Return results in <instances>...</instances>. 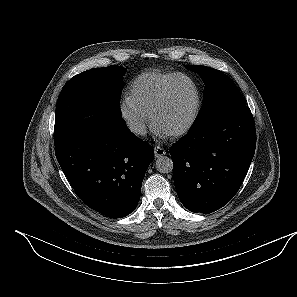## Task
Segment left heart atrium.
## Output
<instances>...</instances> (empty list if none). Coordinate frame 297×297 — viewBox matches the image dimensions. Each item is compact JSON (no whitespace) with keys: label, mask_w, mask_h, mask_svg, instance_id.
<instances>
[{"label":"left heart atrium","mask_w":297,"mask_h":297,"mask_svg":"<svg viewBox=\"0 0 297 297\" xmlns=\"http://www.w3.org/2000/svg\"><path fill=\"white\" fill-rule=\"evenodd\" d=\"M153 133L156 137L159 138H165L167 136L166 133L162 132L161 130H159L158 128L153 126Z\"/></svg>","instance_id":"1"}]
</instances>
